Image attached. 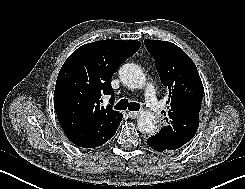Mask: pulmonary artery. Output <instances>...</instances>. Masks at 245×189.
Wrapping results in <instances>:
<instances>
[{
	"mask_svg": "<svg viewBox=\"0 0 245 189\" xmlns=\"http://www.w3.org/2000/svg\"><path fill=\"white\" fill-rule=\"evenodd\" d=\"M146 102L153 111L157 110V100L155 95V87L153 84H149L146 89Z\"/></svg>",
	"mask_w": 245,
	"mask_h": 189,
	"instance_id": "e3ab8cb5",
	"label": "pulmonary artery"
}]
</instances>
